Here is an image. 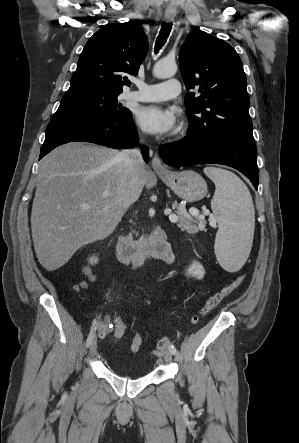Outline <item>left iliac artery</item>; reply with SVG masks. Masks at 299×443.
<instances>
[{
	"mask_svg": "<svg viewBox=\"0 0 299 443\" xmlns=\"http://www.w3.org/2000/svg\"><path fill=\"white\" fill-rule=\"evenodd\" d=\"M169 351H170L172 354H176V353H177V349H176V347H175L174 345H170V347H169Z\"/></svg>",
	"mask_w": 299,
	"mask_h": 443,
	"instance_id": "44dca946",
	"label": "left iliac artery"
}]
</instances>
